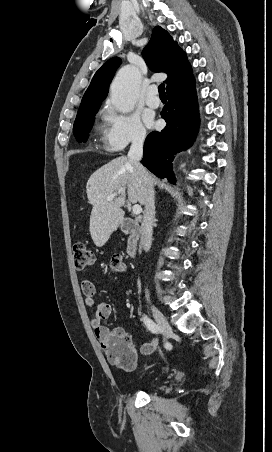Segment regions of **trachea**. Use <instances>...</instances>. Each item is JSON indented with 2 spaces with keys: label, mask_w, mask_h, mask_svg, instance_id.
Wrapping results in <instances>:
<instances>
[{
  "label": "trachea",
  "mask_w": 272,
  "mask_h": 452,
  "mask_svg": "<svg viewBox=\"0 0 272 452\" xmlns=\"http://www.w3.org/2000/svg\"><path fill=\"white\" fill-rule=\"evenodd\" d=\"M158 91H159V96L160 97H166L165 85L164 84H160L158 86Z\"/></svg>",
  "instance_id": "3493384b"
}]
</instances>
